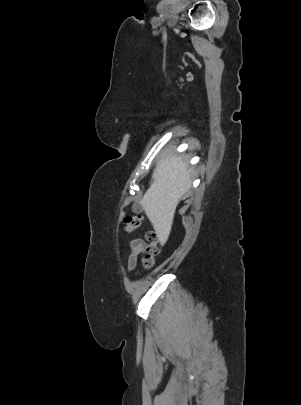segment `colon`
<instances>
[{"label":"colon","mask_w":301,"mask_h":405,"mask_svg":"<svg viewBox=\"0 0 301 405\" xmlns=\"http://www.w3.org/2000/svg\"><path fill=\"white\" fill-rule=\"evenodd\" d=\"M125 229L130 232L138 229L142 224V217L140 215H128L124 219ZM148 244L145 247V256L143 264L146 268H150L154 263V257L158 254V236L155 232L149 231L147 233Z\"/></svg>","instance_id":"1"}]
</instances>
